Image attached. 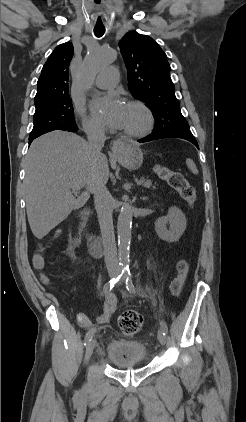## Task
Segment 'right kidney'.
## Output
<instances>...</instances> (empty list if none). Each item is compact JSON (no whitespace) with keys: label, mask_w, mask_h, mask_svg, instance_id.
<instances>
[{"label":"right kidney","mask_w":246,"mask_h":422,"mask_svg":"<svg viewBox=\"0 0 246 422\" xmlns=\"http://www.w3.org/2000/svg\"><path fill=\"white\" fill-rule=\"evenodd\" d=\"M81 243L80 239H75V245L78 246Z\"/></svg>","instance_id":"right-kidney-1"}]
</instances>
